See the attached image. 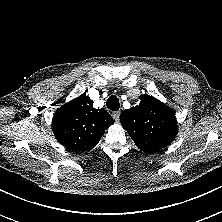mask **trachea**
Here are the masks:
<instances>
[{
	"mask_svg": "<svg viewBox=\"0 0 222 222\" xmlns=\"http://www.w3.org/2000/svg\"><path fill=\"white\" fill-rule=\"evenodd\" d=\"M106 106L108 109L112 110V111H117L120 108V103H119V99L116 96H110L107 99L106 102Z\"/></svg>",
	"mask_w": 222,
	"mask_h": 222,
	"instance_id": "3493384b",
	"label": "trachea"
}]
</instances>
